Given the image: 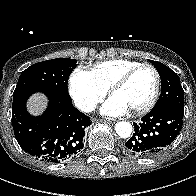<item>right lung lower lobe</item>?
Masks as SVG:
<instances>
[{
    "label": "right lung lower lobe",
    "instance_id": "1",
    "mask_svg": "<svg viewBox=\"0 0 196 196\" xmlns=\"http://www.w3.org/2000/svg\"><path fill=\"white\" fill-rule=\"evenodd\" d=\"M49 98L47 110L41 116H31L25 94L13 99L12 125L21 148L36 159L58 163L73 158L83 148L85 128L91 125L88 116L53 91H42Z\"/></svg>",
    "mask_w": 196,
    "mask_h": 196
}]
</instances>
